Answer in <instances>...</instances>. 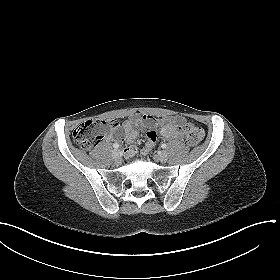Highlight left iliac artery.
<instances>
[{
	"instance_id": "44dca946",
	"label": "left iliac artery",
	"mask_w": 280,
	"mask_h": 280,
	"mask_svg": "<svg viewBox=\"0 0 280 280\" xmlns=\"http://www.w3.org/2000/svg\"><path fill=\"white\" fill-rule=\"evenodd\" d=\"M161 147H162L163 149H165V148H167V145H166L165 143H163V144L161 145Z\"/></svg>"
}]
</instances>
